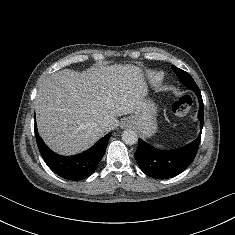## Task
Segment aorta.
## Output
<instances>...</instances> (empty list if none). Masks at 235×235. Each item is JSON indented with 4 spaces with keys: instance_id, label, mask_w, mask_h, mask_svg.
<instances>
[{
    "instance_id": "762f6f07",
    "label": "aorta",
    "mask_w": 235,
    "mask_h": 235,
    "mask_svg": "<svg viewBox=\"0 0 235 235\" xmlns=\"http://www.w3.org/2000/svg\"><path fill=\"white\" fill-rule=\"evenodd\" d=\"M122 140L127 145H134L137 143V134L133 130H125L122 133Z\"/></svg>"
}]
</instances>
